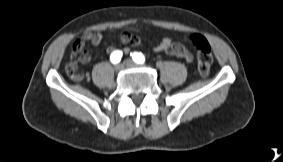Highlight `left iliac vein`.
<instances>
[{
  "instance_id": "obj_1",
  "label": "left iliac vein",
  "mask_w": 283,
  "mask_h": 162,
  "mask_svg": "<svg viewBox=\"0 0 283 162\" xmlns=\"http://www.w3.org/2000/svg\"><path fill=\"white\" fill-rule=\"evenodd\" d=\"M134 64H135L134 61L131 59L124 60V65L126 66H133Z\"/></svg>"
}]
</instances>
